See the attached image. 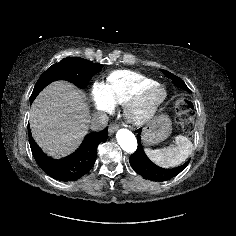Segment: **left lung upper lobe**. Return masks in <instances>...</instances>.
Masks as SVG:
<instances>
[{"mask_svg":"<svg viewBox=\"0 0 236 236\" xmlns=\"http://www.w3.org/2000/svg\"><path fill=\"white\" fill-rule=\"evenodd\" d=\"M161 71H162L167 77L171 78V80H172V82H173V84H174L175 86H177V87H179V88H182V89H184V90H186V91H190V89L186 86V84L184 83V81H183L181 78H179V77H177V76L171 74V73L168 72V71H165V70H161Z\"/></svg>","mask_w":236,"mask_h":236,"instance_id":"obj_1","label":"left lung upper lobe"}]
</instances>
